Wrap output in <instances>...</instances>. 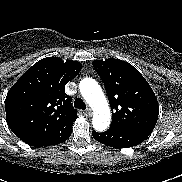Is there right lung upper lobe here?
I'll return each instance as SVG.
<instances>
[{"instance_id": "cb5924a9", "label": "right lung upper lobe", "mask_w": 182, "mask_h": 182, "mask_svg": "<svg viewBox=\"0 0 182 182\" xmlns=\"http://www.w3.org/2000/svg\"><path fill=\"white\" fill-rule=\"evenodd\" d=\"M81 69V63L63 62L58 57L44 58L30 67L6 96V120L11 131L31 146L71 132L77 110L64 87Z\"/></svg>"}]
</instances>
